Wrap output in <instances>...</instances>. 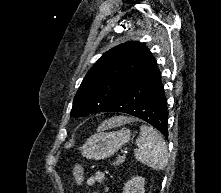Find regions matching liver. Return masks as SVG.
<instances>
[{
	"label": "liver",
	"mask_w": 221,
	"mask_h": 193,
	"mask_svg": "<svg viewBox=\"0 0 221 193\" xmlns=\"http://www.w3.org/2000/svg\"><path fill=\"white\" fill-rule=\"evenodd\" d=\"M129 121H131V118H126V117L111 118V119L103 122L102 125L100 126V129H109L112 127L120 126V125L125 124Z\"/></svg>",
	"instance_id": "1"
}]
</instances>
